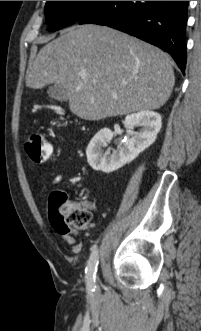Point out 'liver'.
Returning a JSON list of instances; mask_svg holds the SVG:
<instances>
[{
	"mask_svg": "<svg viewBox=\"0 0 201 331\" xmlns=\"http://www.w3.org/2000/svg\"><path fill=\"white\" fill-rule=\"evenodd\" d=\"M51 83L64 87L73 114L101 120L159 109L175 77L172 60L162 50L106 26L83 25L63 31L29 66L27 87Z\"/></svg>",
	"mask_w": 201,
	"mask_h": 331,
	"instance_id": "obj_1",
	"label": "liver"
}]
</instances>
